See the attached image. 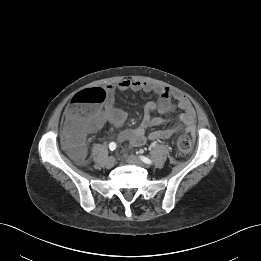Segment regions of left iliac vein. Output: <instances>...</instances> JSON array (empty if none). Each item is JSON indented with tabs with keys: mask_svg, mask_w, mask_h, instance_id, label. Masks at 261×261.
<instances>
[{
	"mask_svg": "<svg viewBox=\"0 0 261 261\" xmlns=\"http://www.w3.org/2000/svg\"><path fill=\"white\" fill-rule=\"evenodd\" d=\"M126 160L129 164L147 168V166L138 157H136L134 155L127 156Z\"/></svg>",
	"mask_w": 261,
	"mask_h": 261,
	"instance_id": "obj_1",
	"label": "left iliac vein"
}]
</instances>
